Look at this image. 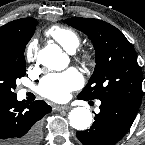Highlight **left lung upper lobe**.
Wrapping results in <instances>:
<instances>
[{"label":"left lung upper lobe","mask_w":145,"mask_h":145,"mask_svg":"<svg viewBox=\"0 0 145 145\" xmlns=\"http://www.w3.org/2000/svg\"><path fill=\"white\" fill-rule=\"evenodd\" d=\"M65 23L84 32L95 48V70L79 97L118 100L139 107L142 71L126 37L114 26L98 19L74 17L66 19Z\"/></svg>","instance_id":"obj_1"}]
</instances>
